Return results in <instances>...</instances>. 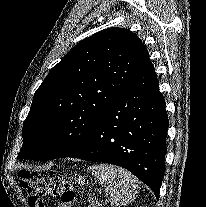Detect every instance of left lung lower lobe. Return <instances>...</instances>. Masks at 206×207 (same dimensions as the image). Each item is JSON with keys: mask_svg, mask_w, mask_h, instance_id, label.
Returning a JSON list of instances; mask_svg holds the SVG:
<instances>
[{"mask_svg": "<svg viewBox=\"0 0 206 207\" xmlns=\"http://www.w3.org/2000/svg\"><path fill=\"white\" fill-rule=\"evenodd\" d=\"M168 123L149 62L108 106L89 142L67 157L121 166L148 185L158 199Z\"/></svg>", "mask_w": 206, "mask_h": 207, "instance_id": "left-lung-lower-lobe-1", "label": "left lung lower lobe"}]
</instances>
